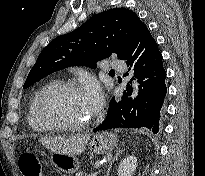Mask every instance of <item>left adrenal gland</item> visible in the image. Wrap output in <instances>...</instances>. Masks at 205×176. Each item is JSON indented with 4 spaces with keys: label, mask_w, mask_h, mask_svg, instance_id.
<instances>
[{
    "label": "left adrenal gland",
    "mask_w": 205,
    "mask_h": 176,
    "mask_svg": "<svg viewBox=\"0 0 205 176\" xmlns=\"http://www.w3.org/2000/svg\"><path fill=\"white\" fill-rule=\"evenodd\" d=\"M122 152H123V150H122L121 148H118V149L116 150V153H115L114 157L112 158V160L110 161L109 166H108L107 171H106V174H105L104 176H109L110 170H111V167H112L113 163L118 159V156H119Z\"/></svg>",
    "instance_id": "obj_1"
}]
</instances>
